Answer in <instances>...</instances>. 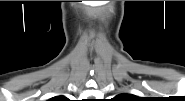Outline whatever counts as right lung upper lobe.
<instances>
[{
	"mask_svg": "<svg viewBox=\"0 0 185 101\" xmlns=\"http://www.w3.org/2000/svg\"><path fill=\"white\" fill-rule=\"evenodd\" d=\"M65 97H63V96H57V97H54V98H52L51 100L52 101H65Z\"/></svg>",
	"mask_w": 185,
	"mask_h": 101,
	"instance_id": "cb5924a9",
	"label": "right lung upper lobe"
}]
</instances>
